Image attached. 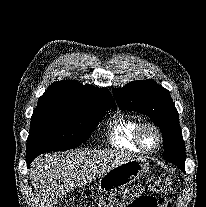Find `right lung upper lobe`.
Returning a JSON list of instances; mask_svg holds the SVG:
<instances>
[{"mask_svg": "<svg viewBox=\"0 0 206 207\" xmlns=\"http://www.w3.org/2000/svg\"><path fill=\"white\" fill-rule=\"evenodd\" d=\"M38 104H60L83 108L114 107V99L107 88L83 85L75 80L51 84L39 98Z\"/></svg>", "mask_w": 206, "mask_h": 207, "instance_id": "1", "label": "right lung upper lobe"}]
</instances>
